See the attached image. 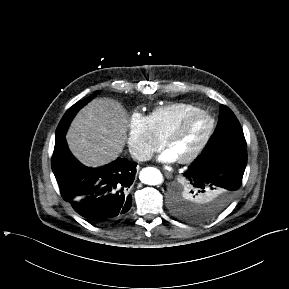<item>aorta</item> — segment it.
I'll return each instance as SVG.
<instances>
[{
  "label": "aorta",
  "mask_w": 289,
  "mask_h": 289,
  "mask_svg": "<svg viewBox=\"0 0 289 289\" xmlns=\"http://www.w3.org/2000/svg\"><path fill=\"white\" fill-rule=\"evenodd\" d=\"M139 178L142 183L148 185H159L163 181L161 172L153 167H146L142 169Z\"/></svg>",
  "instance_id": "762f6f07"
}]
</instances>
